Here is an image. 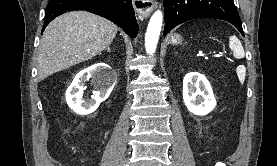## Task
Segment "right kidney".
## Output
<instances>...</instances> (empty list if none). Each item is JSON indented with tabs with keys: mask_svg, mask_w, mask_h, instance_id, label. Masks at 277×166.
<instances>
[{
	"mask_svg": "<svg viewBox=\"0 0 277 166\" xmlns=\"http://www.w3.org/2000/svg\"><path fill=\"white\" fill-rule=\"evenodd\" d=\"M95 77L100 87L95 91L92 99H83L84 83ZM116 82L115 75L107 64L100 63L80 71L66 91V102L77 114L88 115L94 112L102 101H105L113 90Z\"/></svg>",
	"mask_w": 277,
	"mask_h": 166,
	"instance_id": "right-kidney-1",
	"label": "right kidney"
}]
</instances>
